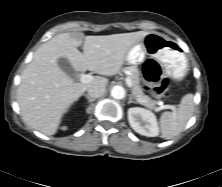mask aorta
I'll return each instance as SVG.
<instances>
[{
    "label": "aorta",
    "mask_w": 222,
    "mask_h": 187,
    "mask_svg": "<svg viewBox=\"0 0 222 187\" xmlns=\"http://www.w3.org/2000/svg\"><path fill=\"white\" fill-rule=\"evenodd\" d=\"M110 93L114 99H123L125 97V90L122 86H114Z\"/></svg>",
    "instance_id": "1"
}]
</instances>
